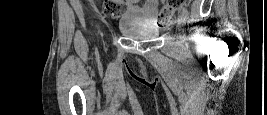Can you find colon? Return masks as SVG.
<instances>
[{
    "label": "colon",
    "instance_id": "1",
    "mask_svg": "<svg viewBox=\"0 0 267 115\" xmlns=\"http://www.w3.org/2000/svg\"><path fill=\"white\" fill-rule=\"evenodd\" d=\"M189 2V0H168L159 11V20L167 23L173 19L176 12ZM126 10V1L124 0H106L102 5V16L107 19H116L120 17Z\"/></svg>",
    "mask_w": 267,
    "mask_h": 115
}]
</instances>
